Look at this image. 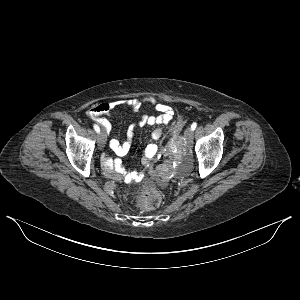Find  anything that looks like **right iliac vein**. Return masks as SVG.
<instances>
[{
    "mask_svg": "<svg viewBox=\"0 0 300 300\" xmlns=\"http://www.w3.org/2000/svg\"><path fill=\"white\" fill-rule=\"evenodd\" d=\"M107 140L106 133L102 130L98 136V147L103 149Z\"/></svg>",
    "mask_w": 300,
    "mask_h": 300,
    "instance_id": "1",
    "label": "right iliac vein"
}]
</instances>
